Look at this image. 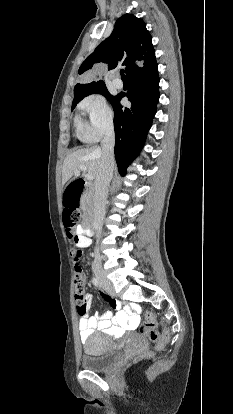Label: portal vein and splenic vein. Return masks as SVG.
Instances as JSON below:
<instances>
[{
    "label": "portal vein and splenic vein",
    "instance_id": "1",
    "mask_svg": "<svg viewBox=\"0 0 233 414\" xmlns=\"http://www.w3.org/2000/svg\"><path fill=\"white\" fill-rule=\"evenodd\" d=\"M86 170H87V168L85 166H82V167H80L79 170H77L75 172V174H79L80 171H84L85 172ZM85 177H86L87 180H93L94 179V176L92 174H86Z\"/></svg>",
    "mask_w": 233,
    "mask_h": 414
}]
</instances>
